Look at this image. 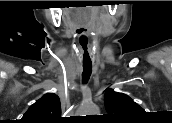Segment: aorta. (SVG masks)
Segmentation results:
<instances>
[{"mask_svg":"<svg viewBox=\"0 0 172 123\" xmlns=\"http://www.w3.org/2000/svg\"><path fill=\"white\" fill-rule=\"evenodd\" d=\"M83 112L89 115H96L99 113V108L94 103H85L83 105Z\"/></svg>","mask_w":172,"mask_h":123,"instance_id":"1","label":"aorta"}]
</instances>
